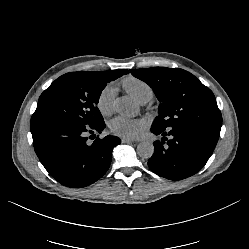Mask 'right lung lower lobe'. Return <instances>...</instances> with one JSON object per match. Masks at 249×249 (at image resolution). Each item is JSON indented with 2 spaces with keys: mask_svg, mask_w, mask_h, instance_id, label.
Listing matches in <instances>:
<instances>
[{
  "mask_svg": "<svg viewBox=\"0 0 249 249\" xmlns=\"http://www.w3.org/2000/svg\"><path fill=\"white\" fill-rule=\"evenodd\" d=\"M105 128L104 121L93 126L74 122L50 120L31 123L35 152L48 171L59 183L80 188L100 179L108 170L113 148L121 143L116 136H95Z\"/></svg>",
  "mask_w": 249,
  "mask_h": 249,
  "instance_id": "obj_1",
  "label": "right lung lower lobe"
}]
</instances>
